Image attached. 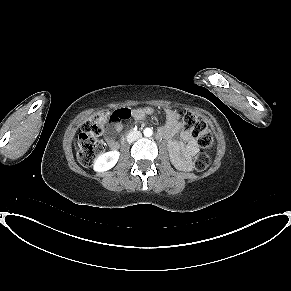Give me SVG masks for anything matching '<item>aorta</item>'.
<instances>
[{
	"label": "aorta",
	"mask_w": 291,
	"mask_h": 291,
	"mask_svg": "<svg viewBox=\"0 0 291 291\" xmlns=\"http://www.w3.org/2000/svg\"><path fill=\"white\" fill-rule=\"evenodd\" d=\"M143 134L145 137H151L153 134V131L151 128H145Z\"/></svg>",
	"instance_id": "1"
}]
</instances>
